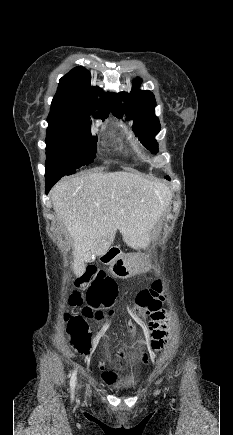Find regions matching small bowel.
Listing matches in <instances>:
<instances>
[{"instance_id":"1","label":"small bowel","mask_w":233,"mask_h":435,"mask_svg":"<svg viewBox=\"0 0 233 435\" xmlns=\"http://www.w3.org/2000/svg\"><path fill=\"white\" fill-rule=\"evenodd\" d=\"M89 269H91V267H89ZM118 291L119 287L112 279L108 282L93 281L91 286L87 289L85 296L87 298H90L97 293H101L108 297L110 300H113L118 295ZM163 318V313H156L153 317L152 322L150 323V327L154 330L164 329L166 325L165 323L161 322ZM98 369L100 374V380L107 385H113L118 381L119 373L123 368L117 361H113L112 363L100 361L98 363Z\"/></svg>"}]
</instances>
